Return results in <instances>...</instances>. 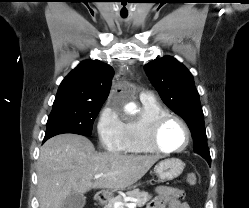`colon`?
<instances>
[{
    "mask_svg": "<svg viewBox=\"0 0 249 208\" xmlns=\"http://www.w3.org/2000/svg\"><path fill=\"white\" fill-rule=\"evenodd\" d=\"M196 175L195 174H188L186 177V181L189 185H194L196 183Z\"/></svg>",
    "mask_w": 249,
    "mask_h": 208,
    "instance_id": "obj_1",
    "label": "colon"
}]
</instances>
